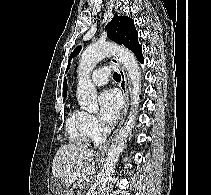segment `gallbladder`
Instances as JSON below:
<instances>
[{
  "label": "gallbladder",
  "instance_id": "1",
  "mask_svg": "<svg viewBox=\"0 0 211 195\" xmlns=\"http://www.w3.org/2000/svg\"><path fill=\"white\" fill-rule=\"evenodd\" d=\"M52 189H53L54 191H57V190H58V189H57V187H56V181H55V180H54V183H53Z\"/></svg>",
  "mask_w": 211,
  "mask_h": 195
}]
</instances>
